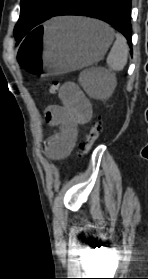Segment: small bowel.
Here are the masks:
<instances>
[{"instance_id": "1", "label": "small bowel", "mask_w": 148, "mask_h": 279, "mask_svg": "<svg viewBox=\"0 0 148 279\" xmlns=\"http://www.w3.org/2000/svg\"><path fill=\"white\" fill-rule=\"evenodd\" d=\"M60 105H50L45 110L46 122L58 127L43 146L45 155L52 160L66 158L74 149L78 138V127L92 117V106L81 89L72 82L60 89Z\"/></svg>"}]
</instances>
